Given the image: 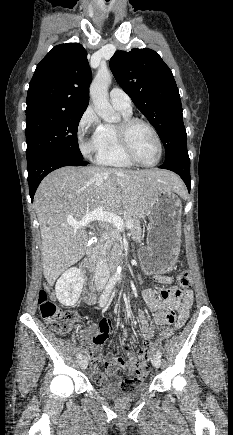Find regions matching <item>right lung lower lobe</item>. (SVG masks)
Listing matches in <instances>:
<instances>
[{"mask_svg":"<svg viewBox=\"0 0 233 435\" xmlns=\"http://www.w3.org/2000/svg\"><path fill=\"white\" fill-rule=\"evenodd\" d=\"M88 162L60 152H43L27 159L28 184L30 197L34 194L42 179L50 172L64 166H84Z\"/></svg>","mask_w":233,"mask_h":435,"instance_id":"98d812e1","label":"right lung lower lobe"}]
</instances>
